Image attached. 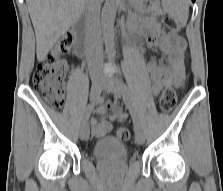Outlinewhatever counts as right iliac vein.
Wrapping results in <instances>:
<instances>
[{
  "label": "right iliac vein",
  "mask_w": 223,
  "mask_h": 191,
  "mask_svg": "<svg viewBox=\"0 0 223 191\" xmlns=\"http://www.w3.org/2000/svg\"><path fill=\"white\" fill-rule=\"evenodd\" d=\"M103 87H104L103 81L97 79L92 80L91 93H90V98L92 101L98 99ZM80 138L82 140H87L89 138V127L85 122L82 124L80 128Z\"/></svg>",
  "instance_id": "1"
}]
</instances>
